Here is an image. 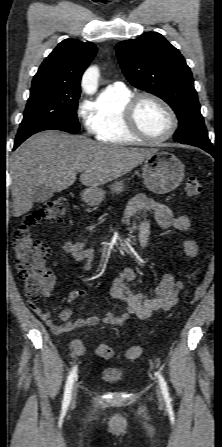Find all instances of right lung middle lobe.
<instances>
[{
    "label": "right lung middle lobe",
    "instance_id": "obj_1",
    "mask_svg": "<svg viewBox=\"0 0 222 447\" xmlns=\"http://www.w3.org/2000/svg\"><path fill=\"white\" fill-rule=\"evenodd\" d=\"M80 95H66L49 86L31 88L15 144L43 130L79 131L77 106Z\"/></svg>",
    "mask_w": 222,
    "mask_h": 447
}]
</instances>
